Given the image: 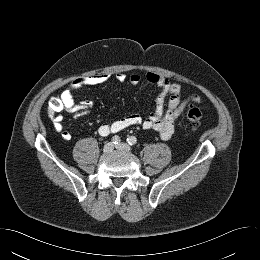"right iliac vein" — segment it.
<instances>
[{
	"label": "right iliac vein",
	"instance_id": "63e3f726",
	"mask_svg": "<svg viewBox=\"0 0 260 260\" xmlns=\"http://www.w3.org/2000/svg\"><path fill=\"white\" fill-rule=\"evenodd\" d=\"M113 149H114V144H113L112 142L106 143V144L104 145V147H103V151H104L105 153H109V152H111Z\"/></svg>",
	"mask_w": 260,
	"mask_h": 260
}]
</instances>
